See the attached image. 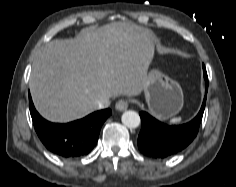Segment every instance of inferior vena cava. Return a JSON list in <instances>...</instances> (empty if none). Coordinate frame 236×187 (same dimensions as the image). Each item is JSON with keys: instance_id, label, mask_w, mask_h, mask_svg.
<instances>
[{"instance_id": "obj_1", "label": "inferior vena cava", "mask_w": 236, "mask_h": 187, "mask_svg": "<svg viewBox=\"0 0 236 187\" xmlns=\"http://www.w3.org/2000/svg\"><path fill=\"white\" fill-rule=\"evenodd\" d=\"M110 105L109 98L107 97H101L98 101L95 103V109H103L107 108Z\"/></svg>"}]
</instances>
